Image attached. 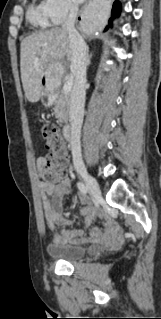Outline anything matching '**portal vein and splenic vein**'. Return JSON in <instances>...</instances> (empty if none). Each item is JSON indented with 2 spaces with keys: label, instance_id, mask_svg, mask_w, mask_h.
I'll return each instance as SVG.
<instances>
[{
  "label": "portal vein and splenic vein",
  "instance_id": "18ae733b",
  "mask_svg": "<svg viewBox=\"0 0 161 319\" xmlns=\"http://www.w3.org/2000/svg\"><path fill=\"white\" fill-rule=\"evenodd\" d=\"M72 85H73L72 79H69L65 82L63 86V91L65 94H68L71 91Z\"/></svg>",
  "mask_w": 161,
  "mask_h": 319
}]
</instances>
